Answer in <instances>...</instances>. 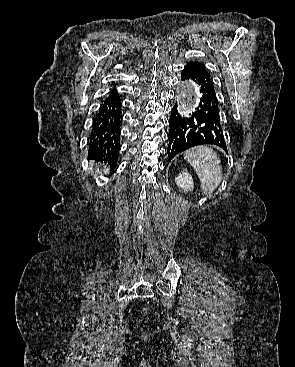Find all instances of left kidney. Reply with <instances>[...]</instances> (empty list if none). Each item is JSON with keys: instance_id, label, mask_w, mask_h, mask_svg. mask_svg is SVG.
I'll return each mask as SVG.
<instances>
[{"instance_id": "5707ae66", "label": "left kidney", "mask_w": 295, "mask_h": 367, "mask_svg": "<svg viewBox=\"0 0 295 367\" xmlns=\"http://www.w3.org/2000/svg\"><path fill=\"white\" fill-rule=\"evenodd\" d=\"M177 186L184 191L188 192L194 189V183L192 176L188 172H181L178 177L175 178Z\"/></svg>"}]
</instances>
